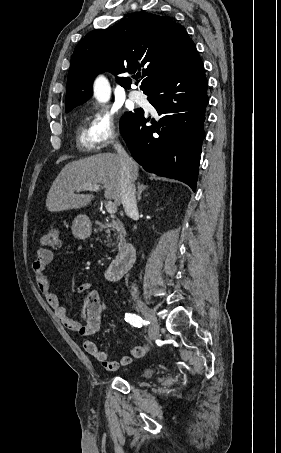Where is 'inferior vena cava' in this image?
Returning a JSON list of instances; mask_svg holds the SVG:
<instances>
[{
	"instance_id": "1",
	"label": "inferior vena cava",
	"mask_w": 281,
	"mask_h": 453,
	"mask_svg": "<svg viewBox=\"0 0 281 453\" xmlns=\"http://www.w3.org/2000/svg\"><path fill=\"white\" fill-rule=\"evenodd\" d=\"M114 148L121 162L120 182L122 204L124 206L126 214H128V216H134V214H138V208L135 198V184H133V180L130 176L131 158L130 156H128L126 150H124L122 144H120L118 140H116ZM131 289V295L133 299H138V289L136 285H132Z\"/></svg>"
}]
</instances>
